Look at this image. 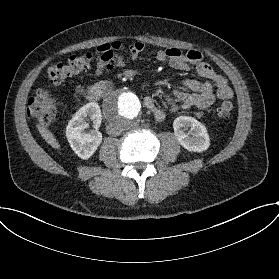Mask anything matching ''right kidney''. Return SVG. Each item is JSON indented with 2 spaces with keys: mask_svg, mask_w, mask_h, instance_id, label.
<instances>
[{
  "mask_svg": "<svg viewBox=\"0 0 279 279\" xmlns=\"http://www.w3.org/2000/svg\"><path fill=\"white\" fill-rule=\"evenodd\" d=\"M90 116L93 124H101L102 114L99 105L90 102L76 112L66 128L67 140L73 151L83 160L89 159L102 144L103 137L99 131L87 132L85 119Z\"/></svg>",
  "mask_w": 279,
  "mask_h": 279,
  "instance_id": "right-kidney-1",
  "label": "right kidney"
}]
</instances>
